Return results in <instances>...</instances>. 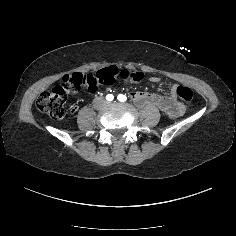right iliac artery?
Wrapping results in <instances>:
<instances>
[{"label":"right iliac artery","instance_id":"1","mask_svg":"<svg viewBox=\"0 0 236 236\" xmlns=\"http://www.w3.org/2000/svg\"><path fill=\"white\" fill-rule=\"evenodd\" d=\"M114 99V96L112 95V94H108L107 96H106V100L107 101H112Z\"/></svg>","mask_w":236,"mask_h":236}]
</instances>
